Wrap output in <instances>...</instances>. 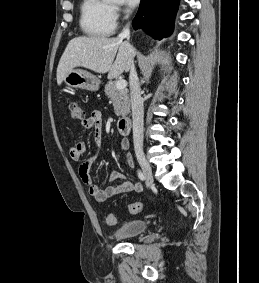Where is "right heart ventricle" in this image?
<instances>
[{"instance_id":"obj_1","label":"right heart ventricle","mask_w":259,"mask_h":283,"mask_svg":"<svg viewBox=\"0 0 259 283\" xmlns=\"http://www.w3.org/2000/svg\"><path fill=\"white\" fill-rule=\"evenodd\" d=\"M80 25L85 34L94 38H105L113 34L116 20L108 0H83Z\"/></svg>"}]
</instances>
